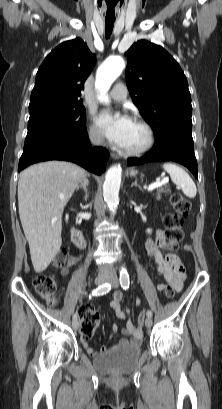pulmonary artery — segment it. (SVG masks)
I'll return each instance as SVG.
<instances>
[{"instance_id": "pulmonary-artery-1", "label": "pulmonary artery", "mask_w": 222, "mask_h": 409, "mask_svg": "<svg viewBox=\"0 0 222 409\" xmlns=\"http://www.w3.org/2000/svg\"><path fill=\"white\" fill-rule=\"evenodd\" d=\"M110 98L122 102L127 98V88L123 83H117L110 92Z\"/></svg>"}]
</instances>
